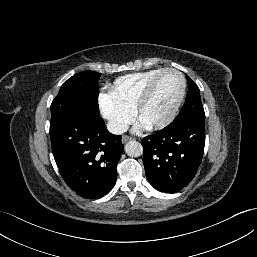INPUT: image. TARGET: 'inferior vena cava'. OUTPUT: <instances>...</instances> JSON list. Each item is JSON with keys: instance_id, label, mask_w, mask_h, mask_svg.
I'll list each match as a JSON object with an SVG mask.
<instances>
[{"instance_id": "obj_1", "label": "inferior vena cava", "mask_w": 257, "mask_h": 257, "mask_svg": "<svg viewBox=\"0 0 257 257\" xmlns=\"http://www.w3.org/2000/svg\"><path fill=\"white\" fill-rule=\"evenodd\" d=\"M106 127L110 133L120 135L127 131L128 124L124 121L112 119L108 121Z\"/></svg>"}]
</instances>
